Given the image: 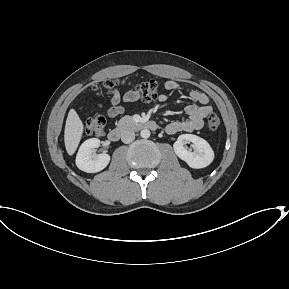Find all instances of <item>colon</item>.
<instances>
[{
  "mask_svg": "<svg viewBox=\"0 0 289 289\" xmlns=\"http://www.w3.org/2000/svg\"><path fill=\"white\" fill-rule=\"evenodd\" d=\"M126 84L124 81L119 80H107L101 86L94 87V91L97 94L103 92L111 93L117 91L119 86ZM134 92L144 102H150L154 100L159 92V84L155 80L140 83L134 87ZM220 118L218 115L212 113L207 119V127L211 131H215L220 126ZM106 120L103 116H95L87 120L85 131L90 136L100 137L104 134Z\"/></svg>",
  "mask_w": 289,
  "mask_h": 289,
  "instance_id": "colon-1",
  "label": "colon"
}]
</instances>
